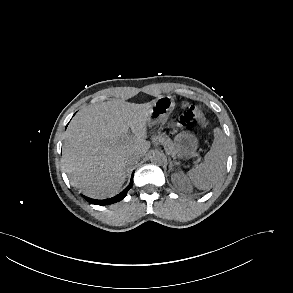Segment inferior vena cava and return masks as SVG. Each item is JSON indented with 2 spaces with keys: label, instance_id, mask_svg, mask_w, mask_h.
I'll return each mask as SVG.
<instances>
[{
  "label": "inferior vena cava",
  "instance_id": "602c4592",
  "mask_svg": "<svg viewBox=\"0 0 293 293\" xmlns=\"http://www.w3.org/2000/svg\"><path fill=\"white\" fill-rule=\"evenodd\" d=\"M142 157V155L138 152H129L126 156V162L128 165H134L136 164L140 158Z\"/></svg>",
  "mask_w": 293,
  "mask_h": 293
}]
</instances>
